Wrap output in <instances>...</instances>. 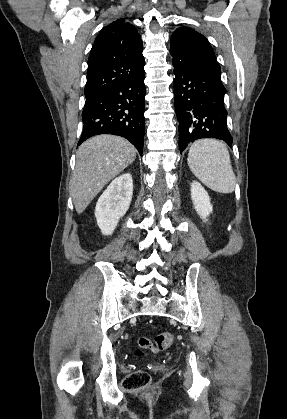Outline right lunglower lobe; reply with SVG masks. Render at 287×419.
Returning <instances> with one entry per match:
<instances>
[{"instance_id":"98d812e1","label":"right lung lower lobe","mask_w":287,"mask_h":419,"mask_svg":"<svg viewBox=\"0 0 287 419\" xmlns=\"http://www.w3.org/2000/svg\"><path fill=\"white\" fill-rule=\"evenodd\" d=\"M145 71L136 77L98 92L85 102L83 131L79 145L98 134H113L128 139L143 153Z\"/></svg>"}]
</instances>
